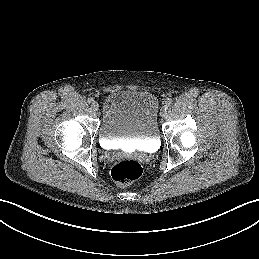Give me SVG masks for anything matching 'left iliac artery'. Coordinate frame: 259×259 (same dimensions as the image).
I'll return each mask as SVG.
<instances>
[{
	"label": "left iliac artery",
	"instance_id": "1",
	"mask_svg": "<svg viewBox=\"0 0 259 259\" xmlns=\"http://www.w3.org/2000/svg\"><path fill=\"white\" fill-rule=\"evenodd\" d=\"M172 104H173V101H172L171 99H168V100L166 101V106H167V107H171Z\"/></svg>",
	"mask_w": 259,
	"mask_h": 259
}]
</instances>
